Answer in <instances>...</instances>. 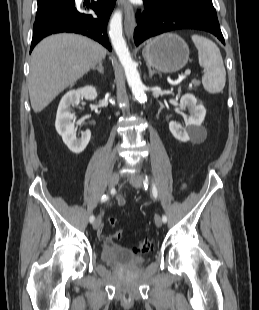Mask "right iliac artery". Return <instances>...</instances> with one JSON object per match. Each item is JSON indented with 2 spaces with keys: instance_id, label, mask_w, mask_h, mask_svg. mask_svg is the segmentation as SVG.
Segmentation results:
<instances>
[{
  "instance_id": "1",
  "label": "right iliac artery",
  "mask_w": 259,
  "mask_h": 310,
  "mask_svg": "<svg viewBox=\"0 0 259 310\" xmlns=\"http://www.w3.org/2000/svg\"><path fill=\"white\" fill-rule=\"evenodd\" d=\"M108 199H109V196H108V195H103L102 198H101V202H105V201H107ZM94 220H95V217H94L93 215H91L90 218H89V221H90L91 223H93Z\"/></svg>"
}]
</instances>
